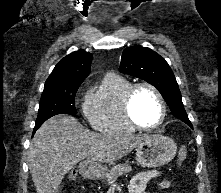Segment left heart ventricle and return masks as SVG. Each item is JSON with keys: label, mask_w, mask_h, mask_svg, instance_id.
<instances>
[{"label": "left heart ventricle", "mask_w": 221, "mask_h": 193, "mask_svg": "<svg viewBox=\"0 0 221 193\" xmlns=\"http://www.w3.org/2000/svg\"><path fill=\"white\" fill-rule=\"evenodd\" d=\"M132 114L142 126H153L159 121L161 106L150 89L140 88L136 91L132 100Z\"/></svg>", "instance_id": "1"}]
</instances>
